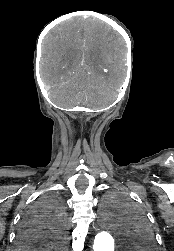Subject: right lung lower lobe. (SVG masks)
<instances>
[{
  "label": "right lung lower lobe",
  "instance_id": "98d812e1",
  "mask_svg": "<svg viewBox=\"0 0 174 251\" xmlns=\"http://www.w3.org/2000/svg\"><path fill=\"white\" fill-rule=\"evenodd\" d=\"M60 232L55 231L48 223L38 220H25L22 222L16 241V250L33 251V247L45 246L48 242L57 243V248L62 250V240L57 237Z\"/></svg>",
  "mask_w": 174,
  "mask_h": 251
}]
</instances>
